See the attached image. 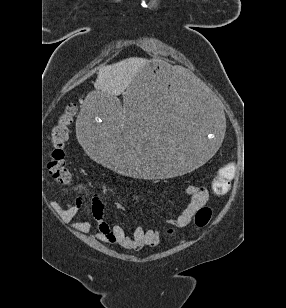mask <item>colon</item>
<instances>
[{
    "instance_id": "1",
    "label": "colon",
    "mask_w": 286,
    "mask_h": 308,
    "mask_svg": "<svg viewBox=\"0 0 286 308\" xmlns=\"http://www.w3.org/2000/svg\"><path fill=\"white\" fill-rule=\"evenodd\" d=\"M76 112V104H68L51 134L52 149L49 153L48 169L54 180L64 186L70 185L73 178L65 161L64 148L69 140L70 126ZM234 174L235 165L233 163L224 165L212 181V190L217 194L226 193L230 188ZM211 216L212 211L209 207L203 206L199 208L195 215V225L198 228L205 227L209 223Z\"/></svg>"
}]
</instances>
